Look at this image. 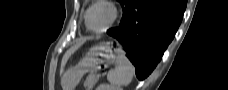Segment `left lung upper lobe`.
<instances>
[{"label":"left lung upper lobe","mask_w":228,"mask_h":90,"mask_svg":"<svg viewBox=\"0 0 228 90\" xmlns=\"http://www.w3.org/2000/svg\"><path fill=\"white\" fill-rule=\"evenodd\" d=\"M118 1L121 3L122 8H124V6L127 4V2H128L129 0H118Z\"/></svg>","instance_id":"left-lung-upper-lobe-1"}]
</instances>
